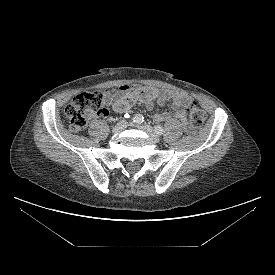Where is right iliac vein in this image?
<instances>
[{"mask_svg": "<svg viewBox=\"0 0 275 275\" xmlns=\"http://www.w3.org/2000/svg\"><path fill=\"white\" fill-rule=\"evenodd\" d=\"M127 127V121L126 120H121L116 124V126L113 129V133H118L124 130Z\"/></svg>", "mask_w": 275, "mask_h": 275, "instance_id": "1", "label": "right iliac vein"}]
</instances>
